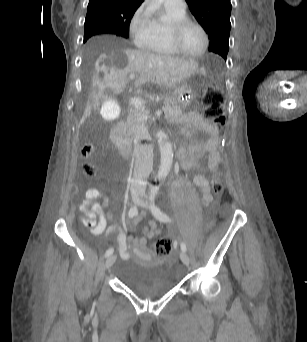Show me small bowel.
<instances>
[{"label":"small bowel","mask_w":307,"mask_h":342,"mask_svg":"<svg viewBox=\"0 0 307 342\" xmlns=\"http://www.w3.org/2000/svg\"><path fill=\"white\" fill-rule=\"evenodd\" d=\"M198 131L204 133L207 138L180 150L179 157L183 169L198 168L201 159L205 155L208 157L209 169L220 162L221 158L218 152L219 128L206 118L200 115H193L186 134L189 138H193ZM193 182L202 192L203 205L208 206L212 201L209 182L202 174L195 175ZM107 205L108 199L100 190L96 188L88 189L80 205V209L84 214L82 221L94 235L108 236L111 233L117 232L118 250L122 258L127 259L132 252L145 250L147 241L159 235L160 229L155 221H150L149 227H145L143 230V236L138 238L127 236L118 225L107 226V223L113 220V213H105L104 211ZM142 217L143 214L138 215L133 221L126 224L124 228L126 230L135 229Z\"/></svg>","instance_id":"obj_1"}]
</instances>
